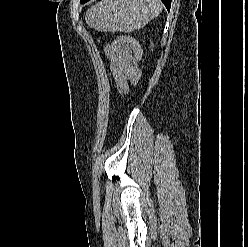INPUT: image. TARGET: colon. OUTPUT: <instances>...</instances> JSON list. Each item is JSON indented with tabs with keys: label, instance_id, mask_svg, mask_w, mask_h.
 <instances>
[{
	"label": "colon",
	"instance_id": "obj_1",
	"mask_svg": "<svg viewBox=\"0 0 248 247\" xmlns=\"http://www.w3.org/2000/svg\"><path fill=\"white\" fill-rule=\"evenodd\" d=\"M118 40L127 44L129 47H131L137 61H140L142 59L143 52H142L140 44L136 40H134L133 38L129 36H120L118 37Z\"/></svg>",
	"mask_w": 248,
	"mask_h": 247
}]
</instances>
